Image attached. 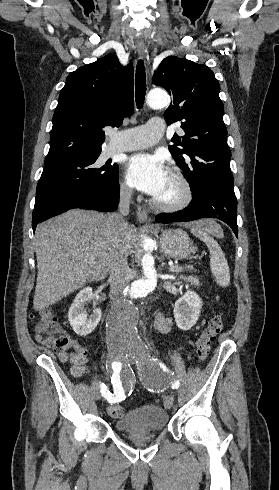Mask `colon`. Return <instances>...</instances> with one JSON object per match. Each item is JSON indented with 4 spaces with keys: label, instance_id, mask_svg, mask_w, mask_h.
Instances as JSON below:
<instances>
[{
    "label": "colon",
    "instance_id": "colon-1",
    "mask_svg": "<svg viewBox=\"0 0 279 490\" xmlns=\"http://www.w3.org/2000/svg\"><path fill=\"white\" fill-rule=\"evenodd\" d=\"M222 326V316L215 315L209 320L198 336L196 341V356L200 361H204L207 358L210 351V344L216 338ZM36 336L42 345L49 347L52 351L59 354H65L70 351L74 341H78L74 340L58 325L55 315L49 310L39 312ZM107 412L112 418H120L124 410L121 405L110 404Z\"/></svg>",
    "mask_w": 279,
    "mask_h": 490
}]
</instances>
